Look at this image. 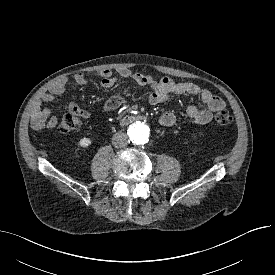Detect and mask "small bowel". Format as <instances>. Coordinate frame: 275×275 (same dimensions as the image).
<instances>
[{
    "instance_id": "1",
    "label": "small bowel",
    "mask_w": 275,
    "mask_h": 275,
    "mask_svg": "<svg viewBox=\"0 0 275 275\" xmlns=\"http://www.w3.org/2000/svg\"><path fill=\"white\" fill-rule=\"evenodd\" d=\"M101 77L100 86L102 88L112 87L118 80V77L131 79L141 86H149L151 93L149 102L151 104H160L168 100L170 94L198 96L203 107L200 108L195 105L187 107V115L195 124L204 125L212 120L213 113L222 110L225 107V102L217 95L211 93L208 89L200 88L192 82H175L171 78L163 77L161 79H154L150 75L133 72L128 68H119L117 76L108 69H103L95 72ZM74 81L77 85L84 86L87 83V77L83 73H77L74 76ZM67 86V79L60 78L52 83L48 92H46L42 99L45 102H52L55 95L62 94ZM124 98L121 94H117L108 100L105 104V110L112 112L124 104ZM69 111L78 114L82 118H89L90 114L81 109L77 104L70 103ZM160 124L164 127H171L176 121L173 112L168 111L161 115ZM58 118L54 115L50 116L47 110H38L32 118V127L35 130L44 128H53L56 126Z\"/></svg>"
}]
</instances>
